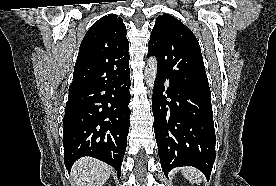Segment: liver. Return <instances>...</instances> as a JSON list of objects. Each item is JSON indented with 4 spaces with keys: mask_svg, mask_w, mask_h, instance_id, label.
<instances>
[{
    "mask_svg": "<svg viewBox=\"0 0 276 186\" xmlns=\"http://www.w3.org/2000/svg\"><path fill=\"white\" fill-rule=\"evenodd\" d=\"M111 174V167L91 157L78 160L72 167L74 186H103Z\"/></svg>",
    "mask_w": 276,
    "mask_h": 186,
    "instance_id": "obj_1",
    "label": "liver"
}]
</instances>
